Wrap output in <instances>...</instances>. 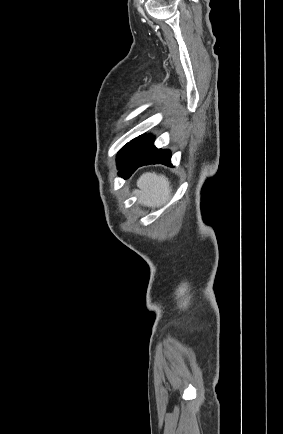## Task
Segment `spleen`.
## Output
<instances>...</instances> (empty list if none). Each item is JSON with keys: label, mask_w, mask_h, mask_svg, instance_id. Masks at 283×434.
Masks as SVG:
<instances>
[{"label": "spleen", "mask_w": 283, "mask_h": 434, "mask_svg": "<svg viewBox=\"0 0 283 434\" xmlns=\"http://www.w3.org/2000/svg\"><path fill=\"white\" fill-rule=\"evenodd\" d=\"M139 203L150 207H159L168 201L172 188L169 180L163 175L144 173L137 181Z\"/></svg>", "instance_id": "obj_1"}]
</instances>
